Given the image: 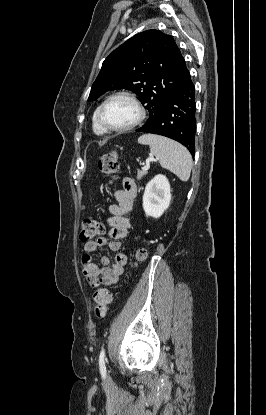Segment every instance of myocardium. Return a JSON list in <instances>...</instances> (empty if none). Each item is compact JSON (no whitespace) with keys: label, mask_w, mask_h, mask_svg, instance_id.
<instances>
[{"label":"myocardium","mask_w":266,"mask_h":415,"mask_svg":"<svg viewBox=\"0 0 266 415\" xmlns=\"http://www.w3.org/2000/svg\"><path fill=\"white\" fill-rule=\"evenodd\" d=\"M116 98H126L128 99L130 102L133 103V105L136 107L137 109V117L136 119L129 125L123 126V127H112L110 125H108L104 119V111L105 108L107 106V104L112 101L113 99ZM146 116V111L145 108L143 107V105L141 104V102L139 101V99L136 97L135 94L129 92V91H117L113 94H111L110 96H108L101 104L100 108H99V114H98V119H99V123L101 124V126L109 132H126L129 130L134 129L135 127H137L145 118Z\"/></svg>","instance_id":"f54148a6"}]
</instances>
